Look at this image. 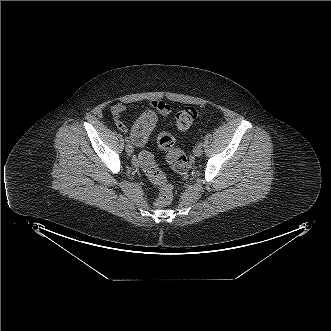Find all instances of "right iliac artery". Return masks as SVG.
Wrapping results in <instances>:
<instances>
[{
  "label": "right iliac artery",
  "mask_w": 331,
  "mask_h": 331,
  "mask_svg": "<svg viewBox=\"0 0 331 331\" xmlns=\"http://www.w3.org/2000/svg\"><path fill=\"white\" fill-rule=\"evenodd\" d=\"M125 142H126V143H129V142H130V140H129L128 137H125Z\"/></svg>",
  "instance_id": "obj_1"
}]
</instances>
